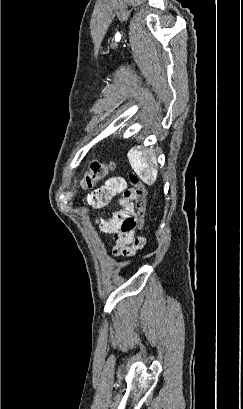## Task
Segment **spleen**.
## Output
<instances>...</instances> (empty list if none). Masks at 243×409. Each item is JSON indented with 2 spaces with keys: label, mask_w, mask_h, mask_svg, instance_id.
I'll list each match as a JSON object with an SVG mask.
<instances>
[{
  "label": "spleen",
  "mask_w": 243,
  "mask_h": 409,
  "mask_svg": "<svg viewBox=\"0 0 243 409\" xmlns=\"http://www.w3.org/2000/svg\"><path fill=\"white\" fill-rule=\"evenodd\" d=\"M132 169L137 173L140 179L147 185H153L157 179L156 158H147L140 146L132 148L127 154Z\"/></svg>",
  "instance_id": "spleen-1"
}]
</instances>
